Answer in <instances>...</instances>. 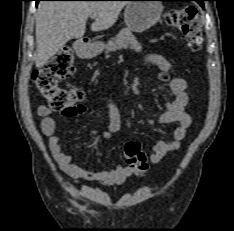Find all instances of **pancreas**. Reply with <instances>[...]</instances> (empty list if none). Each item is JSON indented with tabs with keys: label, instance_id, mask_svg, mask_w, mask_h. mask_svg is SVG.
Listing matches in <instances>:
<instances>
[{
	"label": "pancreas",
	"instance_id": "cf45deb5",
	"mask_svg": "<svg viewBox=\"0 0 234 231\" xmlns=\"http://www.w3.org/2000/svg\"><path fill=\"white\" fill-rule=\"evenodd\" d=\"M122 48H129L137 52L142 51L141 44L127 28L122 29L114 38H112L107 43L106 54L112 51L120 50Z\"/></svg>",
	"mask_w": 234,
	"mask_h": 231
}]
</instances>
